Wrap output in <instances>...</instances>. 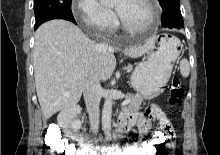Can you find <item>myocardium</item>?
Here are the masks:
<instances>
[{
    "label": "myocardium",
    "mask_w": 220,
    "mask_h": 155,
    "mask_svg": "<svg viewBox=\"0 0 220 155\" xmlns=\"http://www.w3.org/2000/svg\"><path fill=\"white\" fill-rule=\"evenodd\" d=\"M146 2V4L149 7L150 10V18L149 21L142 27H132L130 25H128L120 16L119 13H117V17L119 20V23L121 25V27L127 31V32H131V33H142L145 32L147 30H149L150 28H152L158 20V8H157V3L156 0H144Z\"/></svg>",
    "instance_id": "1"
}]
</instances>
